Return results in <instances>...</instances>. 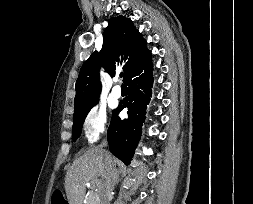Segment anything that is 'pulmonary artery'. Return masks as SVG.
<instances>
[{"instance_id":"obj_1","label":"pulmonary artery","mask_w":253,"mask_h":204,"mask_svg":"<svg viewBox=\"0 0 253 204\" xmlns=\"http://www.w3.org/2000/svg\"><path fill=\"white\" fill-rule=\"evenodd\" d=\"M121 94H122V90H121L120 86L115 85L113 90H112V96L114 98H119V97H121Z\"/></svg>"}]
</instances>
